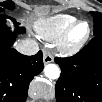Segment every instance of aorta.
Instances as JSON below:
<instances>
[{
  "label": "aorta",
  "instance_id": "aorta-1",
  "mask_svg": "<svg viewBox=\"0 0 102 102\" xmlns=\"http://www.w3.org/2000/svg\"><path fill=\"white\" fill-rule=\"evenodd\" d=\"M44 73L49 79H57L60 76V69L56 64H48L44 68Z\"/></svg>",
  "mask_w": 102,
  "mask_h": 102
}]
</instances>
